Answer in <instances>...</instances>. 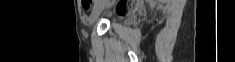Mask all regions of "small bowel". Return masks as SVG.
I'll list each match as a JSON object with an SVG mask.
<instances>
[{
  "label": "small bowel",
  "instance_id": "obj_1",
  "mask_svg": "<svg viewBox=\"0 0 235 62\" xmlns=\"http://www.w3.org/2000/svg\"><path fill=\"white\" fill-rule=\"evenodd\" d=\"M123 8H125V5L120 6L119 10H122Z\"/></svg>",
  "mask_w": 235,
  "mask_h": 62
}]
</instances>
